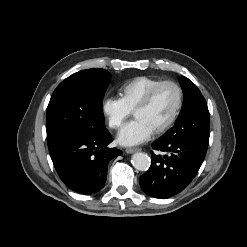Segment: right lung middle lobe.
I'll list each match as a JSON object with an SVG mask.
<instances>
[{
	"label": "right lung middle lobe",
	"mask_w": 247,
	"mask_h": 247,
	"mask_svg": "<svg viewBox=\"0 0 247 247\" xmlns=\"http://www.w3.org/2000/svg\"><path fill=\"white\" fill-rule=\"evenodd\" d=\"M104 69L76 72L54 90L47 107L48 145L57 140L105 128L102 99L110 82Z\"/></svg>",
	"instance_id": "right-lung-middle-lobe-1"
}]
</instances>
